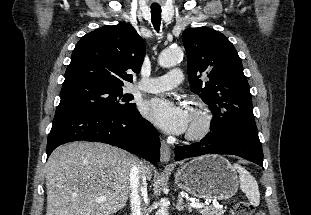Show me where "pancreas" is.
Listing matches in <instances>:
<instances>
[{"instance_id": "pancreas-1", "label": "pancreas", "mask_w": 311, "mask_h": 215, "mask_svg": "<svg viewBox=\"0 0 311 215\" xmlns=\"http://www.w3.org/2000/svg\"><path fill=\"white\" fill-rule=\"evenodd\" d=\"M202 215H223L225 210L213 206L205 205L198 210Z\"/></svg>"}]
</instances>
